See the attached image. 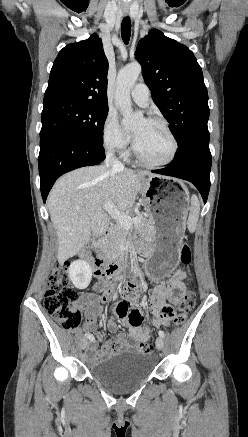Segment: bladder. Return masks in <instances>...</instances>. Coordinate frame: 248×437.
Instances as JSON below:
<instances>
[{
	"instance_id": "31cf9c89",
	"label": "bladder",
	"mask_w": 248,
	"mask_h": 437,
	"mask_svg": "<svg viewBox=\"0 0 248 437\" xmlns=\"http://www.w3.org/2000/svg\"><path fill=\"white\" fill-rule=\"evenodd\" d=\"M155 364L154 356L149 353L128 351L91 366L89 372L111 391L123 393L147 379Z\"/></svg>"
}]
</instances>
